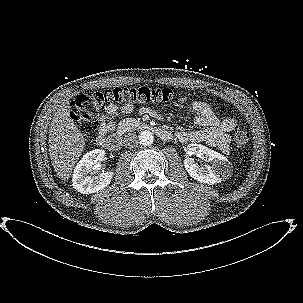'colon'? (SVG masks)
I'll return each mask as SVG.
<instances>
[{
    "label": "colon",
    "instance_id": "colon-1",
    "mask_svg": "<svg viewBox=\"0 0 303 303\" xmlns=\"http://www.w3.org/2000/svg\"><path fill=\"white\" fill-rule=\"evenodd\" d=\"M172 98L169 88L147 86L113 88L92 94H80L70 104V117L76 121L81 130L93 134L99 124L100 112L111 105L146 106L151 103L164 102ZM222 113L227 114L225 109ZM233 140L237 147L244 148L249 142V133L244 128L233 131Z\"/></svg>",
    "mask_w": 303,
    "mask_h": 303
}]
</instances>
